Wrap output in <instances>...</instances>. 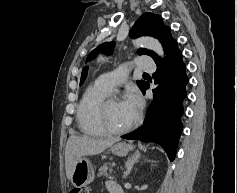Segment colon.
I'll return each mask as SVG.
<instances>
[{"label": "colon", "instance_id": "5ec220e1", "mask_svg": "<svg viewBox=\"0 0 237 193\" xmlns=\"http://www.w3.org/2000/svg\"><path fill=\"white\" fill-rule=\"evenodd\" d=\"M70 193H89V190L85 186H76L70 190Z\"/></svg>", "mask_w": 237, "mask_h": 193}]
</instances>
